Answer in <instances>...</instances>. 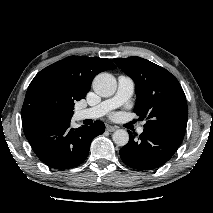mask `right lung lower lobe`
Wrapping results in <instances>:
<instances>
[{
    "label": "right lung lower lobe",
    "mask_w": 213,
    "mask_h": 213,
    "mask_svg": "<svg viewBox=\"0 0 213 213\" xmlns=\"http://www.w3.org/2000/svg\"><path fill=\"white\" fill-rule=\"evenodd\" d=\"M22 125L37 157L55 169H69L81 164L89 154L92 139L105 131L101 121L74 129L70 128V121L25 118Z\"/></svg>",
    "instance_id": "right-lung-lower-lobe-1"
}]
</instances>
